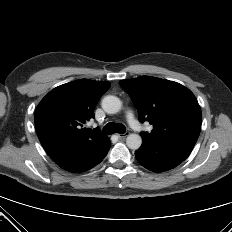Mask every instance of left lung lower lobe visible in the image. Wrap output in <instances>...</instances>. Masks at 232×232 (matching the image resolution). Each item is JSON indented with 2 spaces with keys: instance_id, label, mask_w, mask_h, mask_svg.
<instances>
[{
  "instance_id": "0a47b994",
  "label": "left lung lower lobe",
  "mask_w": 232,
  "mask_h": 232,
  "mask_svg": "<svg viewBox=\"0 0 232 232\" xmlns=\"http://www.w3.org/2000/svg\"><path fill=\"white\" fill-rule=\"evenodd\" d=\"M194 143H157L142 138V145L136 151V159L153 172H163L178 166L191 153Z\"/></svg>"
}]
</instances>
